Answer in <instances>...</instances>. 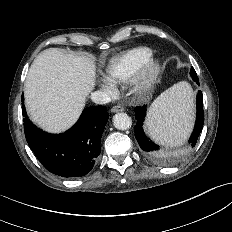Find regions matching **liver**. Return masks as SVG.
I'll use <instances>...</instances> for the list:
<instances>
[{"label":"liver","mask_w":232,"mask_h":232,"mask_svg":"<svg viewBox=\"0 0 232 232\" xmlns=\"http://www.w3.org/2000/svg\"><path fill=\"white\" fill-rule=\"evenodd\" d=\"M91 57L68 54L57 48L41 52L25 82L27 111L39 127L61 132L72 126L95 85Z\"/></svg>","instance_id":"6515ba94"}]
</instances>
